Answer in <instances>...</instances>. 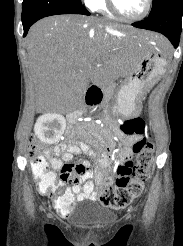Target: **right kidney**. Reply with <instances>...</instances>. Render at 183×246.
<instances>
[{
  "mask_svg": "<svg viewBox=\"0 0 183 246\" xmlns=\"http://www.w3.org/2000/svg\"><path fill=\"white\" fill-rule=\"evenodd\" d=\"M66 128V121L60 114L51 113L39 117L34 131L37 137L46 144H53L59 140Z\"/></svg>",
  "mask_w": 183,
  "mask_h": 246,
  "instance_id": "ca27d5eb",
  "label": "right kidney"
}]
</instances>
